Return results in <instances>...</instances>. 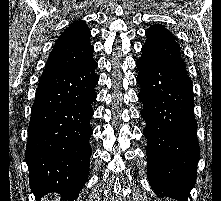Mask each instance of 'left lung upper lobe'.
Instances as JSON below:
<instances>
[{
    "mask_svg": "<svg viewBox=\"0 0 221 201\" xmlns=\"http://www.w3.org/2000/svg\"><path fill=\"white\" fill-rule=\"evenodd\" d=\"M147 40L142 46L143 58L158 65L185 72L180 46L172 33L162 25H153L146 31Z\"/></svg>",
    "mask_w": 221,
    "mask_h": 201,
    "instance_id": "obj_1",
    "label": "left lung upper lobe"
}]
</instances>
